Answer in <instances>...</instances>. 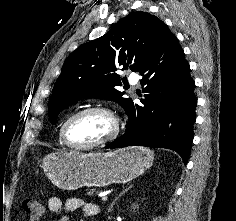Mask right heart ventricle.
Listing matches in <instances>:
<instances>
[{
    "mask_svg": "<svg viewBox=\"0 0 236 221\" xmlns=\"http://www.w3.org/2000/svg\"><path fill=\"white\" fill-rule=\"evenodd\" d=\"M62 125H63V123L60 125V128H59V132H58V140H59V144H60L61 146H66L65 143L63 142V140H62V136H61Z\"/></svg>",
    "mask_w": 236,
    "mask_h": 221,
    "instance_id": "1",
    "label": "right heart ventricle"
}]
</instances>
